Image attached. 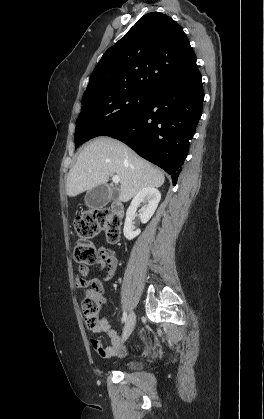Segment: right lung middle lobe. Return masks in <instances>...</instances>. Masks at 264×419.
Segmentation results:
<instances>
[{
	"mask_svg": "<svg viewBox=\"0 0 264 419\" xmlns=\"http://www.w3.org/2000/svg\"><path fill=\"white\" fill-rule=\"evenodd\" d=\"M150 93L146 89L133 88L84 96L76 124L75 148L133 115L147 102Z\"/></svg>",
	"mask_w": 264,
	"mask_h": 419,
	"instance_id": "right-lung-middle-lobe-1",
	"label": "right lung middle lobe"
}]
</instances>
